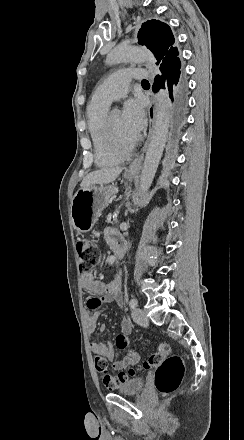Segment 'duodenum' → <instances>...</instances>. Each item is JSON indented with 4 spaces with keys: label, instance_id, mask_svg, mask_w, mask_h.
<instances>
[{
    "label": "duodenum",
    "instance_id": "410a0bca",
    "mask_svg": "<svg viewBox=\"0 0 244 440\" xmlns=\"http://www.w3.org/2000/svg\"><path fill=\"white\" fill-rule=\"evenodd\" d=\"M114 250L116 253V258L118 260H121L125 254V248L123 246V243H119V245Z\"/></svg>",
    "mask_w": 244,
    "mask_h": 440
}]
</instances>
